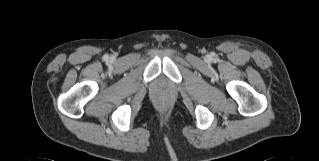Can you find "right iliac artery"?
<instances>
[{"mask_svg":"<svg viewBox=\"0 0 319 161\" xmlns=\"http://www.w3.org/2000/svg\"><path fill=\"white\" fill-rule=\"evenodd\" d=\"M104 59H108V55H105V56H104Z\"/></svg>","mask_w":319,"mask_h":161,"instance_id":"right-iliac-artery-1","label":"right iliac artery"}]
</instances>
